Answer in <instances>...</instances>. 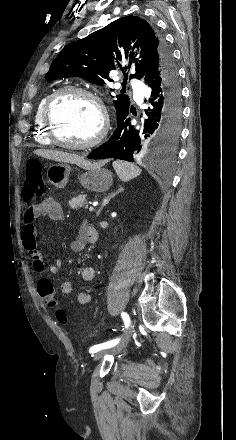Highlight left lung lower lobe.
Segmentation results:
<instances>
[{
  "instance_id": "obj_1",
  "label": "left lung lower lobe",
  "mask_w": 236,
  "mask_h": 440,
  "mask_svg": "<svg viewBox=\"0 0 236 440\" xmlns=\"http://www.w3.org/2000/svg\"><path fill=\"white\" fill-rule=\"evenodd\" d=\"M151 95L145 102L141 126L131 125L129 110L117 117L118 127L111 138L92 151L87 158H115L134 161L145 151H165L171 147L180 132L182 119L181 88L172 54L151 61L143 77Z\"/></svg>"
}]
</instances>
